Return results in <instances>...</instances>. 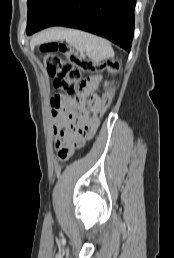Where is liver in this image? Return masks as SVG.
<instances>
[{"label":"liver","mask_w":174,"mask_h":258,"mask_svg":"<svg viewBox=\"0 0 174 258\" xmlns=\"http://www.w3.org/2000/svg\"><path fill=\"white\" fill-rule=\"evenodd\" d=\"M50 39H54L52 37L51 31L50 32H45L40 34L37 38H35L34 40H32L31 45H35L37 43H40L42 41H46V40H50Z\"/></svg>","instance_id":"6515ba94"}]
</instances>
